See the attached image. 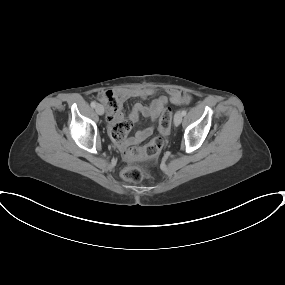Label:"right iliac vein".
Returning a JSON list of instances; mask_svg holds the SVG:
<instances>
[{"instance_id": "obj_1", "label": "right iliac vein", "mask_w": 285, "mask_h": 285, "mask_svg": "<svg viewBox=\"0 0 285 285\" xmlns=\"http://www.w3.org/2000/svg\"><path fill=\"white\" fill-rule=\"evenodd\" d=\"M97 114L103 115L104 114V107L102 105H97L95 108Z\"/></svg>"}]
</instances>
